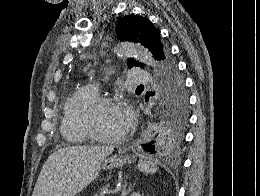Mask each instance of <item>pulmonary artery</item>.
Masks as SVG:
<instances>
[{
  "instance_id": "obj_1",
  "label": "pulmonary artery",
  "mask_w": 260,
  "mask_h": 196,
  "mask_svg": "<svg viewBox=\"0 0 260 196\" xmlns=\"http://www.w3.org/2000/svg\"><path fill=\"white\" fill-rule=\"evenodd\" d=\"M126 77H130V84H153L151 72H143V69H130L125 73Z\"/></svg>"
}]
</instances>
